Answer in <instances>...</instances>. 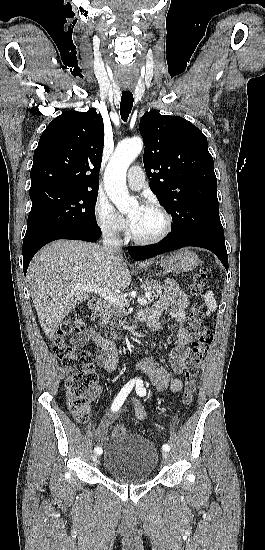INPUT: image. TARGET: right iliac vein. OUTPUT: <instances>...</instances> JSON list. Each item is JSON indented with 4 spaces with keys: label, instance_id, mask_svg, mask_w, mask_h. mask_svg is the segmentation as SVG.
<instances>
[{
    "label": "right iliac vein",
    "instance_id": "obj_1",
    "mask_svg": "<svg viewBox=\"0 0 265 550\" xmlns=\"http://www.w3.org/2000/svg\"><path fill=\"white\" fill-rule=\"evenodd\" d=\"M98 459H99L98 454H96V453L92 454V460H93L94 462H97Z\"/></svg>",
    "mask_w": 265,
    "mask_h": 550
}]
</instances>
